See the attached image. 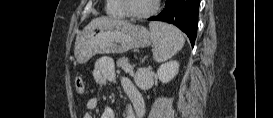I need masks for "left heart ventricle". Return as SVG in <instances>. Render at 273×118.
<instances>
[{"mask_svg":"<svg viewBox=\"0 0 273 118\" xmlns=\"http://www.w3.org/2000/svg\"><path fill=\"white\" fill-rule=\"evenodd\" d=\"M154 0H128L129 9L134 12H144L149 10Z\"/></svg>","mask_w":273,"mask_h":118,"instance_id":"b2bd125f","label":"left heart ventricle"}]
</instances>
